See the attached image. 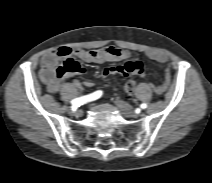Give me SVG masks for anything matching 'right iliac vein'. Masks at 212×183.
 Masks as SVG:
<instances>
[{
    "label": "right iliac vein",
    "instance_id": "63e3f726",
    "mask_svg": "<svg viewBox=\"0 0 212 183\" xmlns=\"http://www.w3.org/2000/svg\"><path fill=\"white\" fill-rule=\"evenodd\" d=\"M69 113H70L71 115L78 114V112H75V111H73V110H69Z\"/></svg>",
    "mask_w": 212,
    "mask_h": 183
}]
</instances>
